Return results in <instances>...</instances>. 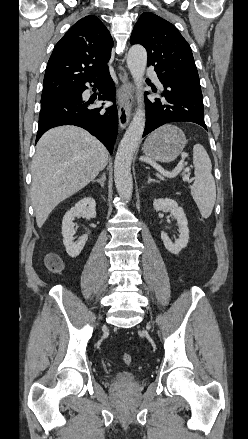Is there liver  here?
<instances>
[{
    "label": "liver",
    "mask_w": 248,
    "mask_h": 439,
    "mask_svg": "<svg viewBox=\"0 0 248 439\" xmlns=\"http://www.w3.org/2000/svg\"><path fill=\"white\" fill-rule=\"evenodd\" d=\"M108 151L86 130L61 126L38 141L32 160L31 202L41 228L54 208L83 189L106 166Z\"/></svg>",
    "instance_id": "obj_1"
}]
</instances>
